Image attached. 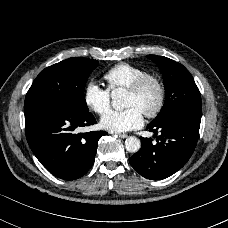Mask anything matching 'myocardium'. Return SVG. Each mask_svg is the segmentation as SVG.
I'll list each match as a JSON object with an SVG mask.
<instances>
[{"instance_id":"obj_1","label":"myocardium","mask_w":228,"mask_h":228,"mask_svg":"<svg viewBox=\"0 0 228 228\" xmlns=\"http://www.w3.org/2000/svg\"><path fill=\"white\" fill-rule=\"evenodd\" d=\"M149 82H153L157 86L159 97L157 103L151 109L142 113L148 118H154L163 110L166 101V88L161 78L151 73L144 74L137 78L127 88V91L133 94H139Z\"/></svg>"}]
</instances>
